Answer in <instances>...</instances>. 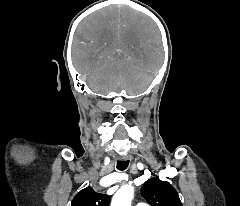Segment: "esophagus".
<instances>
[{
    "instance_id": "esophagus-1",
    "label": "esophagus",
    "mask_w": 240,
    "mask_h": 206,
    "mask_svg": "<svg viewBox=\"0 0 240 206\" xmlns=\"http://www.w3.org/2000/svg\"><path fill=\"white\" fill-rule=\"evenodd\" d=\"M131 158L129 156H123V157H120V160L122 161H127V160H130Z\"/></svg>"
}]
</instances>
